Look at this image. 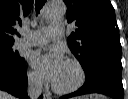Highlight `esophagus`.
<instances>
[{
	"label": "esophagus",
	"instance_id": "1",
	"mask_svg": "<svg viewBox=\"0 0 128 99\" xmlns=\"http://www.w3.org/2000/svg\"><path fill=\"white\" fill-rule=\"evenodd\" d=\"M44 99H51V96L48 93L43 94Z\"/></svg>",
	"mask_w": 128,
	"mask_h": 99
}]
</instances>
